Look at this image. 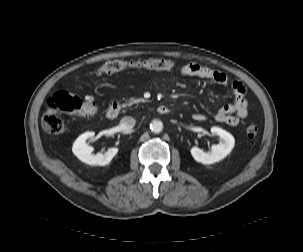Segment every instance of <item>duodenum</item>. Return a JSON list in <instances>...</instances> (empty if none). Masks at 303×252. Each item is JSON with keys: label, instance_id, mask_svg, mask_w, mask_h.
Segmentation results:
<instances>
[{"label": "duodenum", "instance_id": "duodenum-1", "mask_svg": "<svg viewBox=\"0 0 303 252\" xmlns=\"http://www.w3.org/2000/svg\"><path fill=\"white\" fill-rule=\"evenodd\" d=\"M121 110V103L114 101L110 104V107L107 111V116L109 119H115ZM157 111L160 114H168L170 112L169 107L161 105L157 108Z\"/></svg>", "mask_w": 303, "mask_h": 252}]
</instances>
